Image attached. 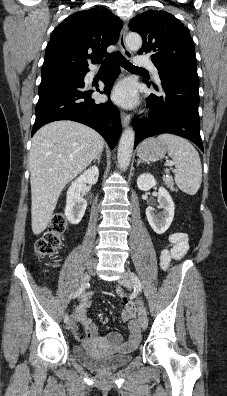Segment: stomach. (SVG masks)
Listing matches in <instances>:
<instances>
[{"mask_svg":"<svg viewBox=\"0 0 227 396\" xmlns=\"http://www.w3.org/2000/svg\"><path fill=\"white\" fill-rule=\"evenodd\" d=\"M165 153V144L154 138L145 140L137 150L138 157L145 162L161 160L165 156Z\"/></svg>","mask_w":227,"mask_h":396,"instance_id":"1","label":"stomach"}]
</instances>
